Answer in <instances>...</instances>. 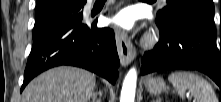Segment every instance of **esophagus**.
I'll return each instance as SVG.
<instances>
[{
	"instance_id": "1",
	"label": "esophagus",
	"mask_w": 221,
	"mask_h": 102,
	"mask_svg": "<svg viewBox=\"0 0 221 102\" xmlns=\"http://www.w3.org/2000/svg\"><path fill=\"white\" fill-rule=\"evenodd\" d=\"M116 45L120 62L123 66L130 64L136 57V50L126 33L119 29L115 30Z\"/></svg>"
}]
</instances>
